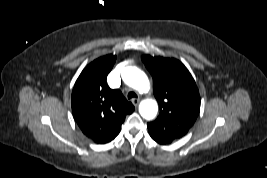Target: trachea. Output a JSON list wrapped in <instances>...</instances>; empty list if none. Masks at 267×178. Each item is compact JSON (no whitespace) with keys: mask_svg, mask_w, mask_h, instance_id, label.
Returning <instances> with one entry per match:
<instances>
[{"mask_svg":"<svg viewBox=\"0 0 267 178\" xmlns=\"http://www.w3.org/2000/svg\"><path fill=\"white\" fill-rule=\"evenodd\" d=\"M127 97H128V99L137 98V95L134 92H129Z\"/></svg>","mask_w":267,"mask_h":178,"instance_id":"3493384b","label":"trachea"}]
</instances>
